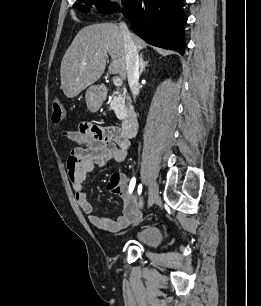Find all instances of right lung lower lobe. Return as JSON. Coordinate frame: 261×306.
<instances>
[{
	"label": "right lung lower lobe",
	"instance_id": "1",
	"mask_svg": "<svg viewBox=\"0 0 261 306\" xmlns=\"http://www.w3.org/2000/svg\"><path fill=\"white\" fill-rule=\"evenodd\" d=\"M183 0H130L124 14L133 31L147 43L184 53Z\"/></svg>",
	"mask_w": 261,
	"mask_h": 306
}]
</instances>
